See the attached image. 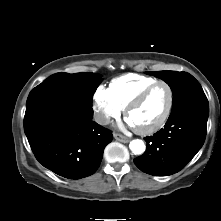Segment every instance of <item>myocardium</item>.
Listing matches in <instances>:
<instances>
[{
    "label": "myocardium",
    "mask_w": 221,
    "mask_h": 221,
    "mask_svg": "<svg viewBox=\"0 0 221 221\" xmlns=\"http://www.w3.org/2000/svg\"><path fill=\"white\" fill-rule=\"evenodd\" d=\"M159 85H164L168 89V92H169V102H168L166 111H165L164 115L162 116V118L153 126L148 127V128H144V129H139V128L134 127L135 132H137L140 135H152V134L158 132L160 129H162L165 126V124L169 120L172 110H173V106H174V91H173L172 86L166 81L157 80L156 82L150 84L145 89H143L135 98H133L128 103V105L126 106V108L124 110V116L127 120H129L130 113L135 108H137L140 104H142L143 101L150 94V92Z\"/></svg>",
    "instance_id": "myocardium-1"
}]
</instances>
